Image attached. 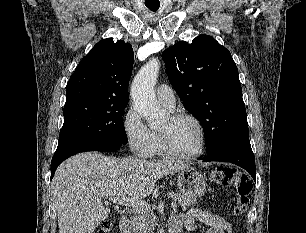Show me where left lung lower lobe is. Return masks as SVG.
<instances>
[{"mask_svg": "<svg viewBox=\"0 0 306 233\" xmlns=\"http://www.w3.org/2000/svg\"><path fill=\"white\" fill-rule=\"evenodd\" d=\"M203 161L231 162L244 168L256 181V166L254 154L249 139L224 143L208 152Z\"/></svg>", "mask_w": 306, "mask_h": 233, "instance_id": "obj_1", "label": "left lung lower lobe"}]
</instances>
